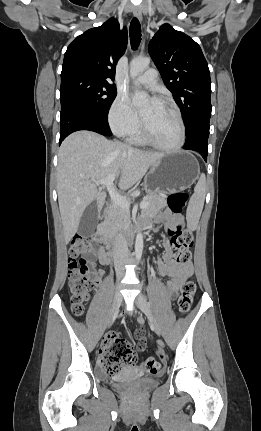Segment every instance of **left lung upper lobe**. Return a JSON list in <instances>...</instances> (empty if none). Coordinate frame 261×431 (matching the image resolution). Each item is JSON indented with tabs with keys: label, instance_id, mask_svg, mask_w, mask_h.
<instances>
[{
	"label": "left lung upper lobe",
	"instance_id": "5c2ea615",
	"mask_svg": "<svg viewBox=\"0 0 261 431\" xmlns=\"http://www.w3.org/2000/svg\"><path fill=\"white\" fill-rule=\"evenodd\" d=\"M149 53L178 104L189 136L211 117V81L200 46L183 32L163 24L149 43Z\"/></svg>",
	"mask_w": 261,
	"mask_h": 431
}]
</instances>
